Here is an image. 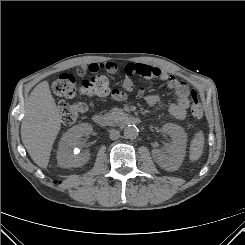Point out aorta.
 I'll return each instance as SVG.
<instances>
[{"instance_id":"aorta-1","label":"aorta","mask_w":245,"mask_h":245,"mask_svg":"<svg viewBox=\"0 0 245 245\" xmlns=\"http://www.w3.org/2000/svg\"><path fill=\"white\" fill-rule=\"evenodd\" d=\"M124 136L127 139H135L138 136V128L135 125H127L124 128Z\"/></svg>"}]
</instances>
